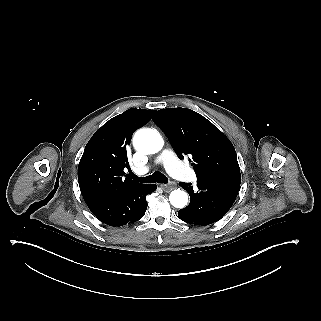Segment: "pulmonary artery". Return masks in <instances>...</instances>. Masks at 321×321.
Here are the masks:
<instances>
[{"label": "pulmonary artery", "instance_id": "pulmonary-artery-1", "mask_svg": "<svg viewBox=\"0 0 321 321\" xmlns=\"http://www.w3.org/2000/svg\"><path fill=\"white\" fill-rule=\"evenodd\" d=\"M166 150H162L156 158V162H160L165 154ZM165 165L171 172L173 178L184 181H191L195 177V172L191 168H185L181 166L178 158L175 155H168L165 158ZM149 167H146L144 171H147Z\"/></svg>", "mask_w": 321, "mask_h": 321}]
</instances>
